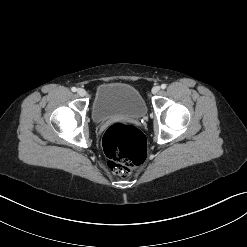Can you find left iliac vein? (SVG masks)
<instances>
[{"label":"left iliac vein","mask_w":247,"mask_h":247,"mask_svg":"<svg viewBox=\"0 0 247 247\" xmlns=\"http://www.w3.org/2000/svg\"><path fill=\"white\" fill-rule=\"evenodd\" d=\"M159 91H160V87H159V86H154V87L152 88V93H153V94H157Z\"/></svg>","instance_id":"obj_1"}]
</instances>
